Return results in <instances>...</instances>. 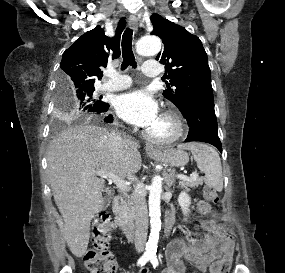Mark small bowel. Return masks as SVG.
Instances as JSON below:
<instances>
[{
    "mask_svg": "<svg viewBox=\"0 0 285 273\" xmlns=\"http://www.w3.org/2000/svg\"><path fill=\"white\" fill-rule=\"evenodd\" d=\"M196 210L203 216H210L212 208L206 201L196 203ZM201 227L207 232L201 242L173 241L167 251L168 267L165 273H185V258L201 273H227L233 256V241L225 236L223 227L212 218L201 221ZM140 273H150L142 269Z\"/></svg>",
    "mask_w": 285,
    "mask_h": 273,
    "instance_id": "obj_1",
    "label": "small bowel"
}]
</instances>
